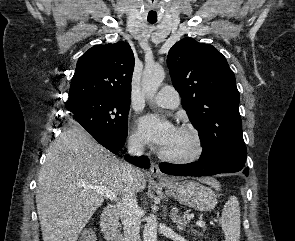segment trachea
I'll return each mask as SVG.
<instances>
[{
    "mask_svg": "<svg viewBox=\"0 0 295 241\" xmlns=\"http://www.w3.org/2000/svg\"><path fill=\"white\" fill-rule=\"evenodd\" d=\"M149 23H150V24H154V23H156V21H149Z\"/></svg>",
    "mask_w": 295,
    "mask_h": 241,
    "instance_id": "trachea-1",
    "label": "trachea"
}]
</instances>
